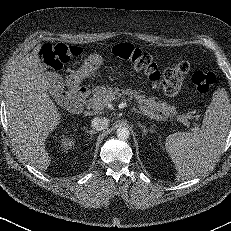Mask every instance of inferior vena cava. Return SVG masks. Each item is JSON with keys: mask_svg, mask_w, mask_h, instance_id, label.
<instances>
[{"mask_svg": "<svg viewBox=\"0 0 231 231\" xmlns=\"http://www.w3.org/2000/svg\"><path fill=\"white\" fill-rule=\"evenodd\" d=\"M110 120L106 117H95L92 119V128L97 131H102L108 127Z\"/></svg>", "mask_w": 231, "mask_h": 231, "instance_id": "1", "label": "inferior vena cava"}]
</instances>
